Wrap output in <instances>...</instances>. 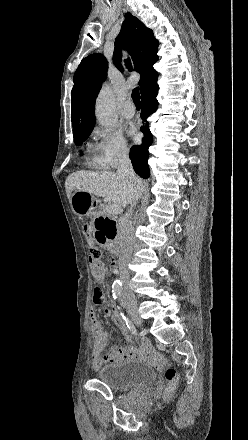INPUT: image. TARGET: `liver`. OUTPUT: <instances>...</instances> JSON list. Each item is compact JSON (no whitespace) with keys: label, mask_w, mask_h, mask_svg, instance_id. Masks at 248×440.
<instances>
[{"label":"liver","mask_w":248,"mask_h":440,"mask_svg":"<svg viewBox=\"0 0 248 440\" xmlns=\"http://www.w3.org/2000/svg\"><path fill=\"white\" fill-rule=\"evenodd\" d=\"M140 189L142 191V181ZM67 197L73 190L85 191L120 206L132 203L138 194V186L128 177L114 172L77 171L65 182Z\"/></svg>","instance_id":"liver-1"}]
</instances>
